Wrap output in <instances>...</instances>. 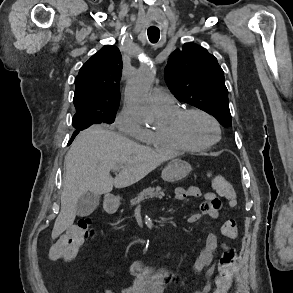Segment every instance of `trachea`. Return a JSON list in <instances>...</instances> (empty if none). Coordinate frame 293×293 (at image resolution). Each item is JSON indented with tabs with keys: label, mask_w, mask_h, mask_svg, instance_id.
<instances>
[{
	"label": "trachea",
	"mask_w": 293,
	"mask_h": 293,
	"mask_svg": "<svg viewBox=\"0 0 293 293\" xmlns=\"http://www.w3.org/2000/svg\"><path fill=\"white\" fill-rule=\"evenodd\" d=\"M148 38L150 42L156 43L160 38V31L159 29L149 28L147 30Z\"/></svg>",
	"instance_id": "obj_1"
}]
</instances>
